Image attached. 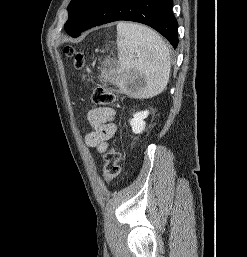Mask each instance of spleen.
Masks as SVG:
<instances>
[{
    "label": "spleen",
    "mask_w": 247,
    "mask_h": 257,
    "mask_svg": "<svg viewBox=\"0 0 247 257\" xmlns=\"http://www.w3.org/2000/svg\"><path fill=\"white\" fill-rule=\"evenodd\" d=\"M119 67L115 83L127 92L126 83L135 76L145 79L138 96L149 98L161 93L169 80L170 52L163 39L152 29L136 23L117 24Z\"/></svg>",
    "instance_id": "spleen-1"
}]
</instances>
